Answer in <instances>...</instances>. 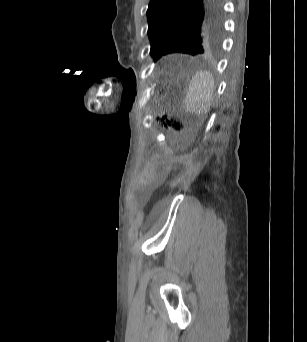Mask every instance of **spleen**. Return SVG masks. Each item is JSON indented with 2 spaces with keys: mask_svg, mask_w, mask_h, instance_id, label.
Wrapping results in <instances>:
<instances>
[{
  "mask_svg": "<svg viewBox=\"0 0 307 342\" xmlns=\"http://www.w3.org/2000/svg\"><path fill=\"white\" fill-rule=\"evenodd\" d=\"M215 90V82L212 74L207 70H199L188 86L184 110L188 114H205L206 110H211V100Z\"/></svg>",
  "mask_w": 307,
  "mask_h": 342,
  "instance_id": "obj_1",
  "label": "spleen"
}]
</instances>
